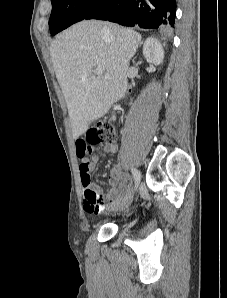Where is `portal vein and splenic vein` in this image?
<instances>
[{"mask_svg":"<svg viewBox=\"0 0 227 298\" xmlns=\"http://www.w3.org/2000/svg\"><path fill=\"white\" fill-rule=\"evenodd\" d=\"M95 74L98 75V76L104 74V77H105V78H107V79H110V78H111L109 74L104 73L103 69H100V68H97V69L95 70Z\"/></svg>","mask_w":227,"mask_h":298,"instance_id":"18ae733b","label":"portal vein and splenic vein"}]
</instances>
